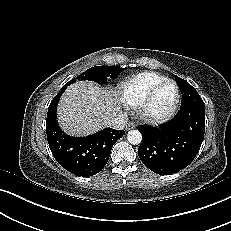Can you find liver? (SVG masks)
<instances>
[{"mask_svg": "<svg viewBox=\"0 0 231 231\" xmlns=\"http://www.w3.org/2000/svg\"><path fill=\"white\" fill-rule=\"evenodd\" d=\"M116 90L94 82L78 81L63 93L58 104V122L72 136L93 134L106 126L108 117L120 112Z\"/></svg>", "mask_w": 231, "mask_h": 231, "instance_id": "obj_1", "label": "liver"}]
</instances>
